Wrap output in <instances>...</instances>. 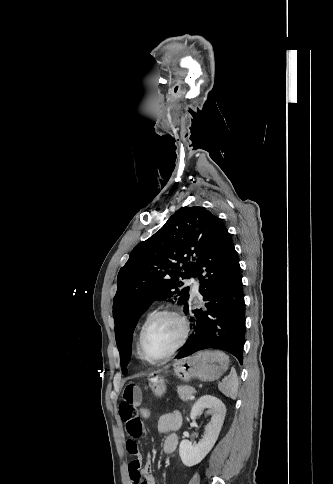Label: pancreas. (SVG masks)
<instances>
[{"instance_id":"1","label":"pancreas","mask_w":333,"mask_h":484,"mask_svg":"<svg viewBox=\"0 0 333 484\" xmlns=\"http://www.w3.org/2000/svg\"><path fill=\"white\" fill-rule=\"evenodd\" d=\"M177 393L181 400L188 401L195 393V388L188 385H180L177 387Z\"/></svg>"}]
</instances>
